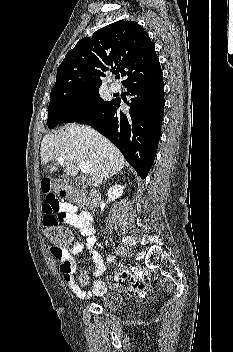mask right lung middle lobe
<instances>
[{"label":"right lung middle lobe","instance_id":"right-lung-middle-lobe-1","mask_svg":"<svg viewBox=\"0 0 233 352\" xmlns=\"http://www.w3.org/2000/svg\"><path fill=\"white\" fill-rule=\"evenodd\" d=\"M99 88L100 85L53 88L48 106V127L78 122L106 107L111 101H104L99 97Z\"/></svg>","mask_w":233,"mask_h":352}]
</instances>
